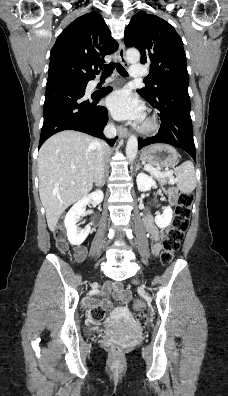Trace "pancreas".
Masks as SVG:
<instances>
[{
	"instance_id": "pancreas-1",
	"label": "pancreas",
	"mask_w": 228,
	"mask_h": 396,
	"mask_svg": "<svg viewBox=\"0 0 228 396\" xmlns=\"http://www.w3.org/2000/svg\"><path fill=\"white\" fill-rule=\"evenodd\" d=\"M155 170H157V169H155ZM157 171H158V170H157ZM150 174H151L152 176H154L160 184H167V183H170V182H171L169 179H167V176L157 175V174H155V173L152 172V171H150Z\"/></svg>"
}]
</instances>
